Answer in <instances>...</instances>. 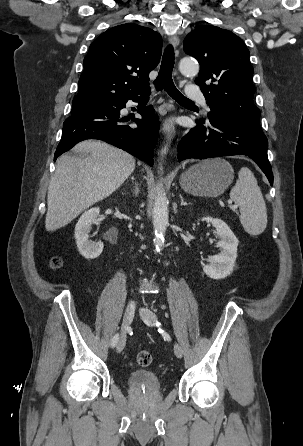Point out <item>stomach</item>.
Masks as SVG:
<instances>
[{"label":"stomach","mask_w":303,"mask_h":446,"mask_svg":"<svg viewBox=\"0 0 303 446\" xmlns=\"http://www.w3.org/2000/svg\"><path fill=\"white\" fill-rule=\"evenodd\" d=\"M234 179L233 167L221 158L201 161L180 177L182 189L196 196L217 197Z\"/></svg>","instance_id":"obj_1"}]
</instances>
